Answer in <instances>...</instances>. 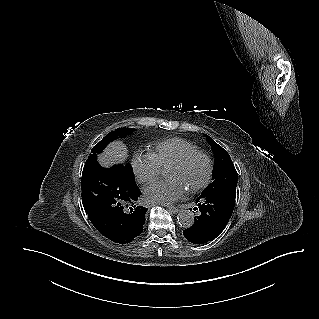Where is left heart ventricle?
<instances>
[{"label": "left heart ventricle", "mask_w": 319, "mask_h": 319, "mask_svg": "<svg viewBox=\"0 0 319 319\" xmlns=\"http://www.w3.org/2000/svg\"><path fill=\"white\" fill-rule=\"evenodd\" d=\"M207 164L203 157H195L180 167H168L166 175L169 178L181 180L188 189L198 185L205 177Z\"/></svg>", "instance_id": "1"}]
</instances>
